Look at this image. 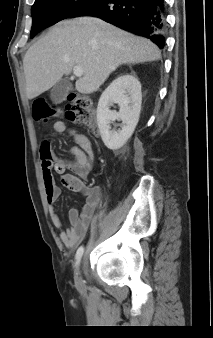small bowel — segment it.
I'll list each match as a JSON object with an SVG mask.
<instances>
[{
    "label": "small bowel",
    "instance_id": "obj_1",
    "mask_svg": "<svg viewBox=\"0 0 213 338\" xmlns=\"http://www.w3.org/2000/svg\"><path fill=\"white\" fill-rule=\"evenodd\" d=\"M52 130L58 134L69 133L75 142V146L71 148L70 159L60 157L51 149L47 135L43 137L39 147L44 192L53 225L58 229L62 228V221L54 209L61 195V189L56 183L52 170L59 173V181L63 186L85 199L80 212L77 210L69 212L70 226L59 234L60 240L67 248H74L85 237L96 217L97 209L101 204V190L98 186H88L84 183V179L92 170L94 160L89 139L75 130H68L62 121L53 123ZM66 168H70L71 172H66Z\"/></svg>",
    "mask_w": 213,
    "mask_h": 338
}]
</instances>
